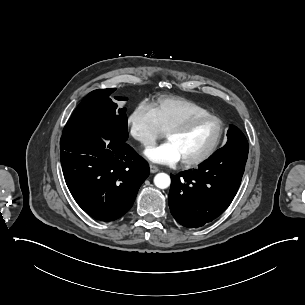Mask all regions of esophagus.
<instances>
[{
	"instance_id": "esophagus-1",
	"label": "esophagus",
	"mask_w": 305,
	"mask_h": 305,
	"mask_svg": "<svg viewBox=\"0 0 305 305\" xmlns=\"http://www.w3.org/2000/svg\"><path fill=\"white\" fill-rule=\"evenodd\" d=\"M149 167H150V172L151 173H156L159 170L158 167L153 165V164H150Z\"/></svg>"
}]
</instances>
